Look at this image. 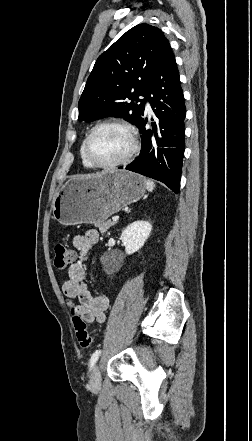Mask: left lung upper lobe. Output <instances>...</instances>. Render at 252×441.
<instances>
[{"label": "left lung upper lobe", "instance_id": "left-lung-upper-lobe-1", "mask_svg": "<svg viewBox=\"0 0 252 441\" xmlns=\"http://www.w3.org/2000/svg\"><path fill=\"white\" fill-rule=\"evenodd\" d=\"M166 41L159 28L145 23L123 34L98 57L78 103V120L114 116L138 127L146 102L139 96H146ZM126 98L131 102H125Z\"/></svg>", "mask_w": 252, "mask_h": 441}]
</instances>
